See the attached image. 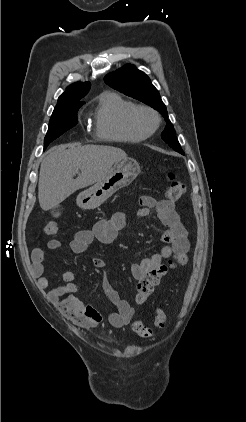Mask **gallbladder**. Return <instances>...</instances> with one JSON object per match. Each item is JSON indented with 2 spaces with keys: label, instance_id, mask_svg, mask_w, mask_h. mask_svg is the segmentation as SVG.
<instances>
[{
  "label": "gallbladder",
  "instance_id": "gallbladder-1",
  "mask_svg": "<svg viewBox=\"0 0 246 422\" xmlns=\"http://www.w3.org/2000/svg\"><path fill=\"white\" fill-rule=\"evenodd\" d=\"M53 215L55 216V217H57V216H59L60 215V213L59 212H53Z\"/></svg>",
  "mask_w": 246,
  "mask_h": 422
}]
</instances>
